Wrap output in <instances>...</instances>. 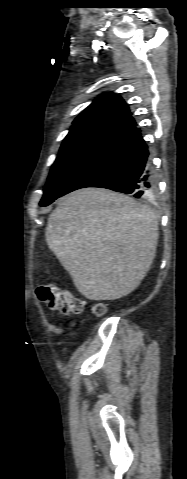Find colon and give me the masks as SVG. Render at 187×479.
I'll return each mask as SVG.
<instances>
[{
  "instance_id": "obj_1",
  "label": "colon",
  "mask_w": 187,
  "mask_h": 479,
  "mask_svg": "<svg viewBox=\"0 0 187 479\" xmlns=\"http://www.w3.org/2000/svg\"><path fill=\"white\" fill-rule=\"evenodd\" d=\"M37 297L46 306L58 310L64 315H79L83 312V300L75 297L69 289H60L52 284L38 285L36 288ZM105 308L102 304L94 307L96 315H102Z\"/></svg>"
}]
</instances>
